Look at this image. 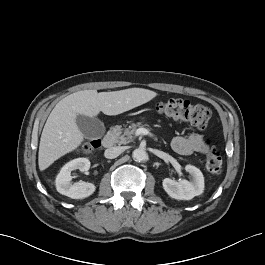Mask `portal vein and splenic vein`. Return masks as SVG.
<instances>
[{
    "label": "portal vein and splenic vein",
    "instance_id": "18ae733b",
    "mask_svg": "<svg viewBox=\"0 0 265 265\" xmlns=\"http://www.w3.org/2000/svg\"><path fill=\"white\" fill-rule=\"evenodd\" d=\"M136 134L137 135H149L150 137H154L152 133H150L148 130L144 128L137 129Z\"/></svg>",
    "mask_w": 265,
    "mask_h": 265
}]
</instances>
